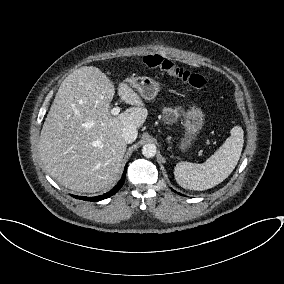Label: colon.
<instances>
[{
    "mask_svg": "<svg viewBox=\"0 0 284 284\" xmlns=\"http://www.w3.org/2000/svg\"><path fill=\"white\" fill-rule=\"evenodd\" d=\"M145 65L150 69H159L175 79L190 85L195 89H202L206 85L203 75L179 67L173 61L158 55H149L144 58Z\"/></svg>",
    "mask_w": 284,
    "mask_h": 284,
    "instance_id": "colon-1",
    "label": "colon"
}]
</instances>
